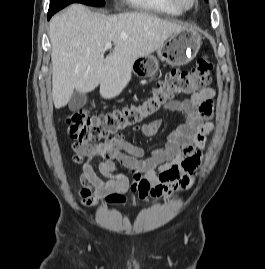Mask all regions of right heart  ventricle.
Masks as SVG:
<instances>
[{
    "label": "right heart ventricle",
    "instance_id": "e07e8e85",
    "mask_svg": "<svg viewBox=\"0 0 265 269\" xmlns=\"http://www.w3.org/2000/svg\"><path fill=\"white\" fill-rule=\"evenodd\" d=\"M134 9L177 16L182 13L180 9L172 5L168 0H125Z\"/></svg>",
    "mask_w": 265,
    "mask_h": 269
}]
</instances>
